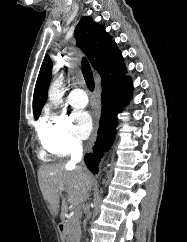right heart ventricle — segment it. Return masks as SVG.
I'll return each mask as SVG.
<instances>
[{
  "instance_id": "e07e8e85",
  "label": "right heart ventricle",
  "mask_w": 187,
  "mask_h": 242,
  "mask_svg": "<svg viewBox=\"0 0 187 242\" xmlns=\"http://www.w3.org/2000/svg\"><path fill=\"white\" fill-rule=\"evenodd\" d=\"M50 151L41 143L40 157L43 160H47L50 156Z\"/></svg>"
}]
</instances>
